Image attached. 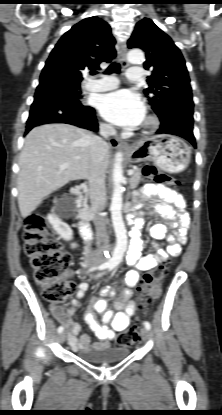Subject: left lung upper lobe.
<instances>
[{
    "label": "left lung upper lobe",
    "instance_id": "5c2ea615",
    "mask_svg": "<svg viewBox=\"0 0 222 415\" xmlns=\"http://www.w3.org/2000/svg\"><path fill=\"white\" fill-rule=\"evenodd\" d=\"M129 48H141L146 53L144 68L151 71L149 87L144 90L152 109L160 119L183 114L180 99L192 95L185 60L172 39L155 23L144 18L139 21L128 40Z\"/></svg>",
    "mask_w": 222,
    "mask_h": 415
}]
</instances>
